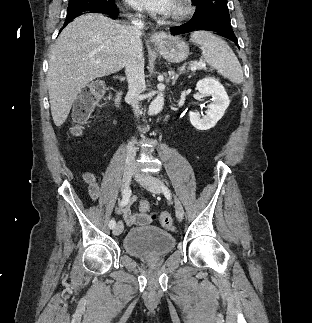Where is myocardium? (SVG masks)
<instances>
[{
	"instance_id": "f54148a6",
	"label": "myocardium",
	"mask_w": 312,
	"mask_h": 323,
	"mask_svg": "<svg viewBox=\"0 0 312 323\" xmlns=\"http://www.w3.org/2000/svg\"><path fill=\"white\" fill-rule=\"evenodd\" d=\"M173 2L169 5L170 11L173 13V20L190 21L197 5L192 0H173ZM190 2H192L191 5Z\"/></svg>"
}]
</instances>
